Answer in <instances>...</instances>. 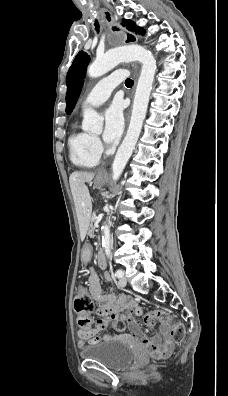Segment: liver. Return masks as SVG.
Here are the masks:
<instances>
[{"mask_svg":"<svg viewBox=\"0 0 228 396\" xmlns=\"http://www.w3.org/2000/svg\"><path fill=\"white\" fill-rule=\"evenodd\" d=\"M93 178L94 173L88 172H73L69 178L82 239H84L86 235L85 224L88 223L92 210L91 197L85 183L90 182Z\"/></svg>","mask_w":228,"mask_h":396,"instance_id":"1","label":"liver"}]
</instances>
